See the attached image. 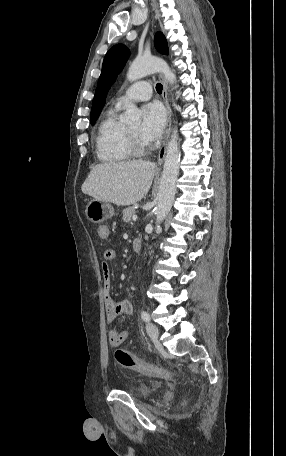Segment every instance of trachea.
Listing matches in <instances>:
<instances>
[{"label": "trachea", "instance_id": "obj_1", "mask_svg": "<svg viewBox=\"0 0 286 456\" xmlns=\"http://www.w3.org/2000/svg\"><path fill=\"white\" fill-rule=\"evenodd\" d=\"M162 89H163L162 84L157 83V85H156V91H157L159 94H161V93H162Z\"/></svg>", "mask_w": 286, "mask_h": 456}]
</instances>
